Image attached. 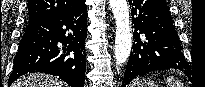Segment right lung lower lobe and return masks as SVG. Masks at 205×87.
<instances>
[{"mask_svg": "<svg viewBox=\"0 0 205 87\" xmlns=\"http://www.w3.org/2000/svg\"><path fill=\"white\" fill-rule=\"evenodd\" d=\"M86 20L83 3L61 15L27 23L8 84L24 74L40 72L58 76L71 87H83Z\"/></svg>", "mask_w": 205, "mask_h": 87, "instance_id": "98d812e1", "label": "right lung lower lobe"}]
</instances>
